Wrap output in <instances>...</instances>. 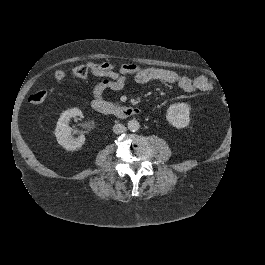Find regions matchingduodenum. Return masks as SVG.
Wrapping results in <instances>:
<instances>
[{
  "mask_svg": "<svg viewBox=\"0 0 265 265\" xmlns=\"http://www.w3.org/2000/svg\"><path fill=\"white\" fill-rule=\"evenodd\" d=\"M92 108L103 115L114 116L120 119L140 114L141 110L133 106H117L104 100L95 99L92 101Z\"/></svg>",
  "mask_w": 265,
  "mask_h": 265,
  "instance_id": "obj_1",
  "label": "duodenum"
}]
</instances>
